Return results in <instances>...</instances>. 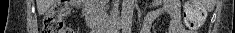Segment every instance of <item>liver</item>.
Returning <instances> with one entry per match:
<instances>
[{
    "instance_id": "6515ba94",
    "label": "liver",
    "mask_w": 235,
    "mask_h": 33,
    "mask_svg": "<svg viewBox=\"0 0 235 33\" xmlns=\"http://www.w3.org/2000/svg\"><path fill=\"white\" fill-rule=\"evenodd\" d=\"M54 0H36L37 10L40 15H43L53 5Z\"/></svg>"
}]
</instances>
